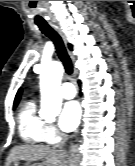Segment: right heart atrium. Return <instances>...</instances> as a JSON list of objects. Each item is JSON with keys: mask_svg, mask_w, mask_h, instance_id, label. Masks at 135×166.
I'll use <instances>...</instances> for the list:
<instances>
[{"mask_svg": "<svg viewBox=\"0 0 135 166\" xmlns=\"http://www.w3.org/2000/svg\"><path fill=\"white\" fill-rule=\"evenodd\" d=\"M45 138L48 142H56L60 140L61 135L55 125L52 123H46L45 126Z\"/></svg>", "mask_w": 135, "mask_h": 166, "instance_id": "d8ad5b80", "label": "right heart atrium"}]
</instances>
